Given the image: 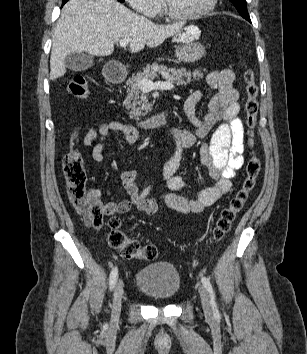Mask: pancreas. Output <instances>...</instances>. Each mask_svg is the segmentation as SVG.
Wrapping results in <instances>:
<instances>
[{
  "mask_svg": "<svg viewBox=\"0 0 307 354\" xmlns=\"http://www.w3.org/2000/svg\"><path fill=\"white\" fill-rule=\"evenodd\" d=\"M205 71V70H204ZM160 73L167 81L176 85H187L193 80H199L203 77L201 69L193 71L175 68H168L164 65L152 64L133 75L127 80V97L124 101L125 108L129 111L131 119L139 120L141 117L148 114L151 109V104L148 102L147 95L140 89L138 83L142 79H154Z\"/></svg>",
  "mask_w": 307,
  "mask_h": 354,
  "instance_id": "1",
  "label": "pancreas"
}]
</instances>
